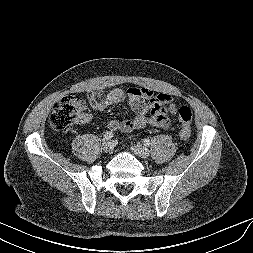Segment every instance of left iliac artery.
<instances>
[{"label":"left iliac artery","mask_w":253,"mask_h":253,"mask_svg":"<svg viewBox=\"0 0 253 253\" xmlns=\"http://www.w3.org/2000/svg\"><path fill=\"white\" fill-rule=\"evenodd\" d=\"M143 144L145 145V146H150V140L149 139H144L143 140Z\"/></svg>","instance_id":"left-iliac-artery-1"}]
</instances>
